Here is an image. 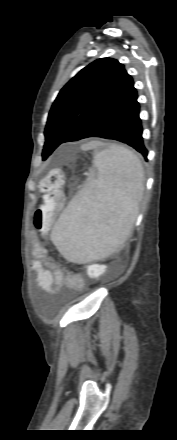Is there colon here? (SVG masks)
<instances>
[{
	"instance_id": "5ec220e1",
	"label": "colon",
	"mask_w": 177,
	"mask_h": 440,
	"mask_svg": "<svg viewBox=\"0 0 177 440\" xmlns=\"http://www.w3.org/2000/svg\"><path fill=\"white\" fill-rule=\"evenodd\" d=\"M64 184V173L60 168H53L40 184L43 193V204L37 209L34 216V226L36 229L44 231L50 227L54 216L62 209L64 196L62 187ZM79 277L73 275L69 278L70 282Z\"/></svg>"
}]
</instances>
